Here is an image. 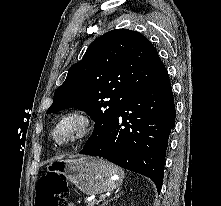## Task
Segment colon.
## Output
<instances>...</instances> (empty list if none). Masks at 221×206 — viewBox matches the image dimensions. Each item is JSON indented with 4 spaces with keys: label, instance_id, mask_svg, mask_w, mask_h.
<instances>
[{
    "label": "colon",
    "instance_id": "colon-1",
    "mask_svg": "<svg viewBox=\"0 0 221 206\" xmlns=\"http://www.w3.org/2000/svg\"><path fill=\"white\" fill-rule=\"evenodd\" d=\"M56 178L55 174H49L38 181L36 206H68V187L56 182Z\"/></svg>",
    "mask_w": 221,
    "mask_h": 206
}]
</instances>
